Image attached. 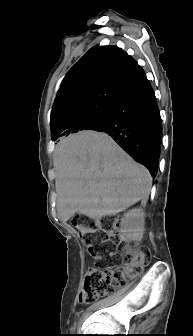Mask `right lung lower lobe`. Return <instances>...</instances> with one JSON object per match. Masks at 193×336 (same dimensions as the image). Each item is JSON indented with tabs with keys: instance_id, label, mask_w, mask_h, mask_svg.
Wrapping results in <instances>:
<instances>
[{
	"instance_id": "obj_1",
	"label": "right lung lower lobe",
	"mask_w": 193,
	"mask_h": 336,
	"mask_svg": "<svg viewBox=\"0 0 193 336\" xmlns=\"http://www.w3.org/2000/svg\"><path fill=\"white\" fill-rule=\"evenodd\" d=\"M132 158L145 165L152 177L158 171L162 121L154 91L140 68L113 102L104 126Z\"/></svg>"
}]
</instances>
